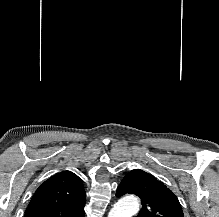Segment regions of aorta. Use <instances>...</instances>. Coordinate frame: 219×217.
Here are the masks:
<instances>
[{"label": "aorta", "instance_id": "1", "mask_svg": "<svg viewBox=\"0 0 219 217\" xmlns=\"http://www.w3.org/2000/svg\"><path fill=\"white\" fill-rule=\"evenodd\" d=\"M140 208L138 198L134 196L119 200L109 212L108 217H132Z\"/></svg>", "mask_w": 219, "mask_h": 217}]
</instances>
